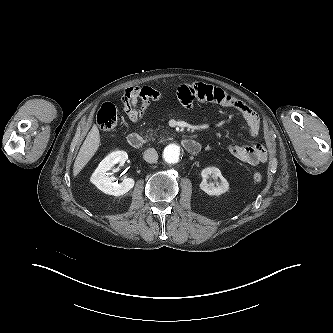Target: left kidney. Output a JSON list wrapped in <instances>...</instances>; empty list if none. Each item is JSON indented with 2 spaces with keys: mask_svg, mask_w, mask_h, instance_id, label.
Here are the masks:
<instances>
[{
  "mask_svg": "<svg viewBox=\"0 0 333 333\" xmlns=\"http://www.w3.org/2000/svg\"><path fill=\"white\" fill-rule=\"evenodd\" d=\"M202 182L200 183V189L210 196H219L229 190L228 181L222 176L221 171L216 167H207L202 170ZM212 177L214 179L220 178V184L215 187L213 184L207 183V178Z\"/></svg>",
  "mask_w": 333,
  "mask_h": 333,
  "instance_id": "obj_1",
  "label": "left kidney"
}]
</instances>
